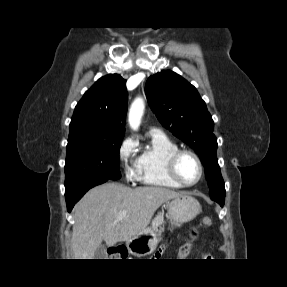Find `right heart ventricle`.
I'll return each mask as SVG.
<instances>
[{"label": "right heart ventricle", "mask_w": 287, "mask_h": 287, "mask_svg": "<svg viewBox=\"0 0 287 287\" xmlns=\"http://www.w3.org/2000/svg\"><path fill=\"white\" fill-rule=\"evenodd\" d=\"M179 149V146L166 135L150 133V143L140 153L136 160V172L140 182L146 185L166 188H179L167 168L169 156Z\"/></svg>", "instance_id": "1"}]
</instances>
